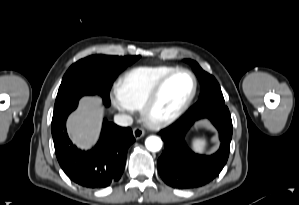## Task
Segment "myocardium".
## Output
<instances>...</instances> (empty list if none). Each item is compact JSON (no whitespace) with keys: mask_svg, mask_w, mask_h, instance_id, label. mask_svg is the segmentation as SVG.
Instances as JSON below:
<instances>
[{"mask_svg":"<svg viewBox=\"0 0 299 205\" xmlns=\"http://www.w3.org/2000/svg\"><path fill=\"white\" fill-rule=\"evenodd\" d=\"M185 73L190 76L192 80V89L187 97V99L183 102V104L177 108L172 113L167 115L156 117L153 115V109L157 103V100L169 80H171L174 76ZM197 92V79L195 75L188 69L185 68H177L170 73L166 74L162 77L157 84L153 87L149 95L147 96L146 100L144 101L141 107V115L144 121L152 128H160L166 125H169L180 118L190 107L191 103L193 102L195 95Z\"/></svg>","mask_w":299,"mask_h":205,"instance_id":"obj_1","label":"myocardium"}]
</instances>
